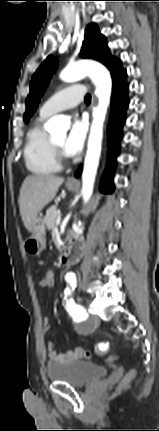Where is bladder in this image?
I'll return each instance as SVG.
<instances>
[{"mask_svg":"<svg viewBox=\"0 0 159 431\" xmlns=\"http://www.w3.org/2000/svg\"><path fill=\"white\" fill-rule=\"evenodd\" d=\"M109 373V369L103 365L75 360L67 363H48L46 377L50 382L67 384L72 387H84L96 382Z\"/></svg>","mask_w":159,"mask_h":431,"instance_id":"31cf9c89","label":"bladder"}]
</instances>
